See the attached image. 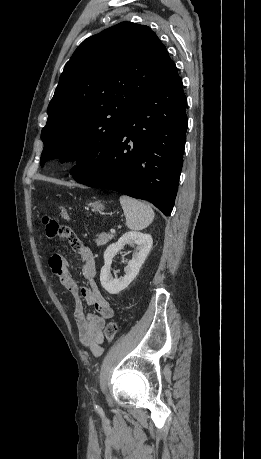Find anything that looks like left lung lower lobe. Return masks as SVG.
I'll use <instances>...</instances> for the list:
<instances>
[{
  "label": "left lung lower lobe",
  "mask_w": 261,
  "mask_h": 459,
  "mask_svg": "<svg viewBox=\"0 0 261 459\" xmlns=\"http://www.w3.org/2000/svg\"><path fill=\"white\" fill-rule=\"evenodd\" d=\"M187 98L174 65L134 109L98 168L72 175L90 187L150 201L171 214L183 164Z\"/></svg>",
  "instance_id": "1"
}]
</instances>
